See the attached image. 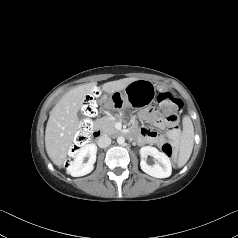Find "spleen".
<instances>
[{
	"instance_id": "1",
	"label": "spleen",
	"mask_w": 238,
	"mask_h": 238,
	"mask_svg": "<svg viewBox=\"0 0 238 238\" xmlns=\"http://www.w3.org/2000/svg\"><path fill=\"white\" fill-rule=\"evenodd\" d=\"M194 142V128L190 117L185 116L183 118V132L180 153L178 157V167H182L186 164L193 149Z\"/></svg>"
}]
</instances>
